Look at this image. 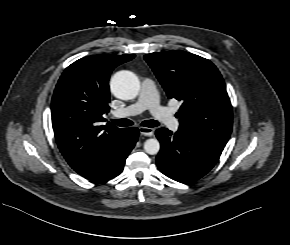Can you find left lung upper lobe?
<instances>
[{
	"label": "left lung upper lobe",
	"instance_id": "obj_1",
	"mask_svg": "<svg viewBox=\"0 0 290 245\" xmlns=\"http://www.w3.org/2000/svg\"><path fill=\"white\" fill-rule=\"evenodd\" d=\"M168 98L182 103L176 117L179 130L225 147L232 131L233 113L225 82L209 60L175 50L144 56Z\"/></svg>",
	"mask_w": 290,
	"mask_h": 245
}]
</instances>
